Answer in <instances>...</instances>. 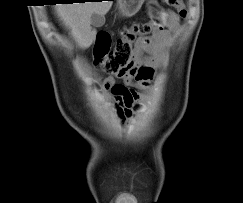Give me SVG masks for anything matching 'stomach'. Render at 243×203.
Listing matches in <instances>:
<instances>
[{"label":"stomach","mask_w":243,"mask_h":203,"mask_svg":"<svg viewBox=\"0 0 243 203\" xmlns=\"http://www.w3.org/2000/svg\"><path fill=\"white\" fill-rule=\"evenodd\" d=\"M145 0H118L119 12L125 17L135 15L141 8Z\"/></svg>","instance_id":"obj_1"}]
</instances>
